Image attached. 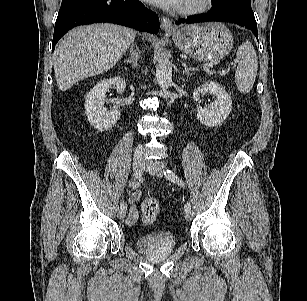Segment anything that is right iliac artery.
Instances as JSON below:
<instances>
[{"label":"right iliac artery","mask_w":307,"mask_h":301,"mask_svg":"<svg viewBox=\"0 0 307 301\" xmlns=\"http://www.w3.org/2000/svg\"><path fill=\"white\" fill-rule=\"evenodd\" d=\"M139 186H140V180H139V181L133 180V181H131V182L129 183V187H131V188H138ZM120 207H121V208H124V209H127V205L124 203V201H122V202L120 203Z\"/></svg>","instance_id":"1"}]
</instances>
